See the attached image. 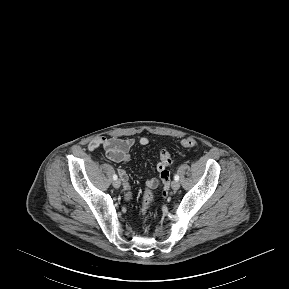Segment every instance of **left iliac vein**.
Wrapping results in <instances>:
<instances>
[{
  "label": "left iliac vein",
  "mask_w": 289,
  "mask_h": 289,
  "mask_svg": "<svg viewBox=\"0 0 289 289\" xmlns=\"http://www.w3.org/2000/svg\"><path fill=\"white\" fill-rule=\"evenodd\" d=\"M171 188H172L173 190H178V189L180 188V183H179L178 181H176V180H173V181L171 182Z\"/></svg>",
  "instance_id": "obj_1"
}]
</instances>
